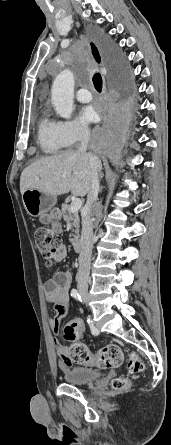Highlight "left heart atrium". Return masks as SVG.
Listing matches in <instances>:
<instances>
[{
  "instance_id": "obj_1",
  "label": "left heart atrium",
  "mask_w": 171,
  "mask_h": 445,
  "mask_svg": "<svg viewBox=\"0 0 171 445\" xmlns=\"http://www.w3.org/2000/svg\"><path fill=\"white\" fill-rule=\"evenodd\" d=\"M81 119L86 123L96 122L98 120V113L93 107L87 106L82 109Z\"/></svg>"
}]
</instances>
